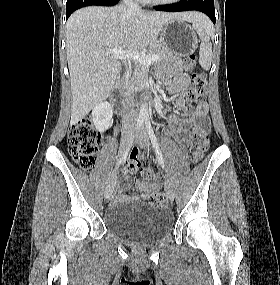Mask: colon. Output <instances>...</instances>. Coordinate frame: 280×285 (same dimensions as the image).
<instances>
[{"label": "colon", "mask_w": 280, "mask_h": 285, "mask_svg": "<svg viewBox=\"0 0 280 285\" xmlns=\"http://www.w3.org/2000/svg\"><path fill=\"white\" fill-rule=\"evenodd\" d=\"M185 68L191 71L192 86L188 91L190 102L201 103L206 94L207 78L204 73L194 72L196 59L189 56L184 61ZM209 129L195 130L190 137L189 146L193 159H200L209 147L208 140ZM101 144V134L97 131L90 120H84L71 126L68 140V150L74 162L85 171H92L96 154ZM139 149H135L131 155L132 159H137ZM141 174L146 181L154 177L152 169L144 168ZM150 200L154 203L162 204L166 202V196L163 193L154 194Z\"/></svg>", "instance_id": "1"}]
</instances>
